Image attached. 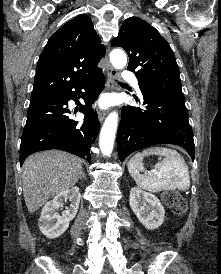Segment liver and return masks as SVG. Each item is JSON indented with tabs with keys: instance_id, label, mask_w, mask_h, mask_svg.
I'll return each instance as SVG.
<instances>
[{
	"instance_id": "obj_1",
	"label": "liver",
	"mask_w": 221,
	"mask_h": 274,
	"mask_svg": "<svg viewBox=\"0 0 221 274\" xmlns=\"http://www.w3.org/2000/svg\"><path fill=\"white\" fill-rule=\"evenodd\" d=\"M23 196L30 213L72 188L82 176V163L69 153L50 150L29 156L22 167Z\"/></svg>"
}]
</instances>
